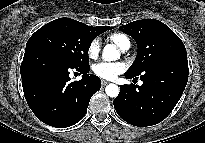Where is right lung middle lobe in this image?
<instances>
[{"mask_svg": "<svg viewBox=\"0 0 205 143\" xmlns=\"http://www.w3.org/2000/svg\"><path fill=\"white\" fill-rule=\"evenodd\" d=\"M96 35L82 22L59 18L38 29L26 48L35 47L51 52L73 67H89L88 49Z\"/></svg>", "mask_w": 205, "mask_h": 143, "instance_id": "obj_1", "label": "right lung middle lobe"}]
</instances>
